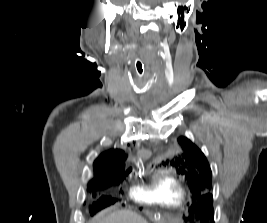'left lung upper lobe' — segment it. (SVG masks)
Instances as JSON below:
<instances>
[{
    "label": "left lung upper lobe",
    "instance_id": "5c2ea615",
    "mask_svg": "<svg viewBox=\"0 0 267 223\" xmlns=\"http://www.w3.org/2000/svg\"><path fill=\"white\" fill-rule=\"evenodd\" d=\"M178 142L182 146V152L170 161V165L185 176L196 200L192 206H178L177 209H171V214H193L194 218L200 219L201 222L214 223L213 198L210 193L205 194L212 189L209 163L202 151L189 139L180 137Z\"/></svg>",
    "mask_w": 267,
    "mask_h": 223
}]
</instances>
